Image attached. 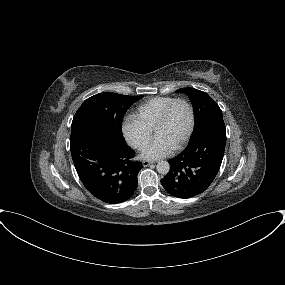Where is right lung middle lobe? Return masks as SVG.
I'll return each mask as SVG.
<instances>
[{"mask_svg":"<svg viewBox=\"0 0 285 285\" xmlns=\"http://www.w3.org/2000/svg\"><path fill=\"white\" fill-rule=\"evenodd\" d=\"M143 96L103 92L86 99L76 112L71 130L86 128L107 133L124 142L122 120L128 108Z\"/></svg>","mask_w":285,"mask_h":285,"instance_id":"1","label":"right lung middle lobe"}]
</instances>
